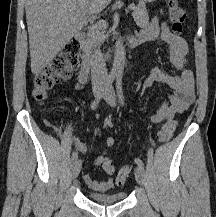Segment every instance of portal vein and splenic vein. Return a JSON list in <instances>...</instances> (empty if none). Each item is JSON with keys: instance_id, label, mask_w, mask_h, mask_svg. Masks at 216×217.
<instances>
[{"instance_id": "1", "label": "portal vein and splenic vein", "mask_w": 216, "mask_h": 217, "mask_svg": "<svg viewBox=\"0 0 216 217\" xmlns=\"http://www.w3.org/2000/svg\"><path fill=\"white\" fill-rule=\"evenodd\" d=\"M134 7H135L134 5H129V6H128V8H129L130 10H133Z\"/></svg>"}]
</instances>
